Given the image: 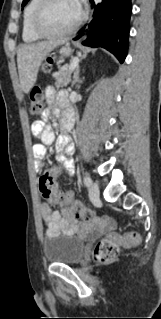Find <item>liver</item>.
I'll return each instance as SVG.
<instances>
[{
    "instance_id": "1",
    "label": "liver",
    "mask_w": 161,
    "mask_h": 319,
    "mask_svg": "<svg viewBox=\"0 0 161 319\" xmlns=\"http://www.w3.org/2000/svg\"><path fill=\"white\" fill-rule=\"evenodd\" d=\"M58 45L57 41L22 44L17 49V65L21 88L29 93L36 82L39 67L45 57Z\"/></svg>"
}]
</instances>
